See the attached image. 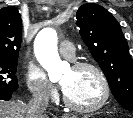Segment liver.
Listing matches in <instances>:
<instances>
[{
	"mask_svg": "<svg viewBox=\"0 0 133 118\" xmlns=\"http://www.w3.org/2000/svg\"><path fill=\"white\" fill-rule=\"evenodd\" d=\"M27 111L23 102L0 100V118H28Z\"/></svg>",
	"mask_w": 133,
	"mask_h": 118,
	"instance_id": "1",
	"label": "liver"
}]
</instances>
